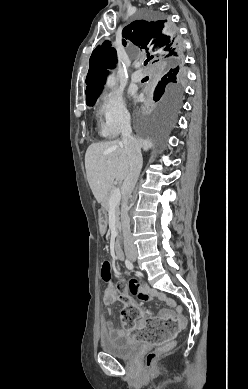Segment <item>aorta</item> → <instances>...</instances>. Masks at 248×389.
<instances>
[{
  "mask_svg": "<svg viewBox=\"0 0 248 389\" xmlns=\"http://www.w3.org/2000/svg\"><path fill=\"white\" fill-rule=\"evenodd\" d=\"M116 85V78L113 74H111L108 79H107V82H106V86L108 88H114Z\"/></svg>",
  "mask_w": 248,
  "mask_h": 389,
  "instance_id": "1",
  "label": "aorta"
}]
</instances>
